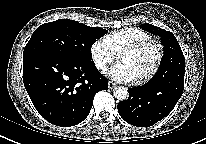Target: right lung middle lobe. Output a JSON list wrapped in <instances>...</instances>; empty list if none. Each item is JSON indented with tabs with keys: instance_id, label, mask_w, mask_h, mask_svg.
<instances>
[{
	"instance_id": "obj_1",
	"label": "right lung middle lobe",
	"mask_w": 206,
	"mask_h": 144,
	"mask_svg": "<svg viewBox=\"0 0 206 144\" xmlns=\"http://www.w3.org/2000/svg\"><path fill=\"white\" fill-rule=\"evenodd\" d=\"M106 33L70 19H59L39 26L24 48L23 57L43 53L63 59L90 62L92 44Z\"/></svg>"
}]
</instances>
